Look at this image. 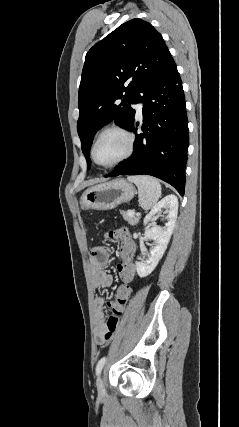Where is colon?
I'll list each match as a JSON object with an SVG mask.
<instances>
[{"label": "colon", "instance_id": "obj_1", "mask_svg": "<svg viewBox=\"0 0 239 427\" xmlns=\"http://www.w3.org/2000/svg\"><path fill=\"white\" fill-rule=\"evenodd\" d=\"M132 232L133 230H127L126 224L122 222L108 234L110 243L118 244L117 251L120 262L116 263V281L120 284L116 285L113 296H108L106 300L107 304L110 305V311L113 313L106 322V331L103 336L105 341H108L118 329V315L121 314V308L127 302L123 298L130 297L137 275V247Z\"/></svg>", "mask_w": 239, "mask_h": 427}]
</instances>
